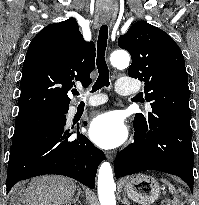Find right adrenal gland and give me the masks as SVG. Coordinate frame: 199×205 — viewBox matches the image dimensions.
Wrapping results in <instances>:
<instances>
[{
    "label": "right adrenal gland",
    "mask_w": 199,
    "mask_h": 205,
    "mask_svg": "<svg viewBox=\"0 0 199 205\" xmlns=\"http://www.w3.org/2000/svg\"><path fill=\"white\" fill-rule=\"evenodd\" d=\"M84 197V194L82 192V190L80 188H78V192H77V195L75 196L74 198V205H76V202H78L80 205H81V201L79 200V197Z\"/></svg>",
    "instance_id": "1"
}]
</instances>
